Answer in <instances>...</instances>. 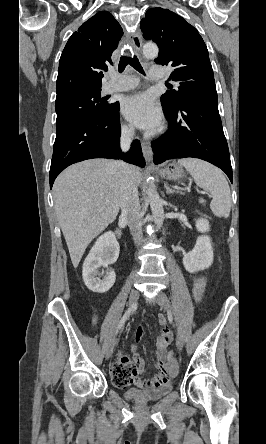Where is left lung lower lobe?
Segmentation results:
<instances>
[{
  "mask_svg": "<svg viewBox=\"0 0 266 444\" xmlns=\"http://www.w3.org/2000/svg\"><path fill=\"white\" fill-rule=\"evenodd\" d=\"M164 111L169 128L152 143L154 163L173 158H199L221 168L233 182L217 98L188 100L174 111Z\"/></svg>",
  "mask_w": 266,
  "mask_h": 444,
  "instance_id": "0a47b994",
  "label": "left lung lower lobe"
}]
</instances>
